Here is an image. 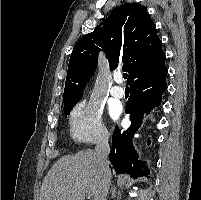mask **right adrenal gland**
I'll use <instances>...</instances> for the list:
<instances>
[{
	"mask_svg": "<svg viewBox=\"0 0 201 200\" xmlns=\"http://www.w3.org/2000/svg\"><path fill=\"white\" fill-rule=\"evenodd\" d=\"M111 197L113 199L116 197V187L114 185L111 187Z\"/></svg>",
	"mask_w": 201,
	"mask_h": 200,
	"instance_id": "1",
	"label": "right adrenal gland"
}]
</instances>
